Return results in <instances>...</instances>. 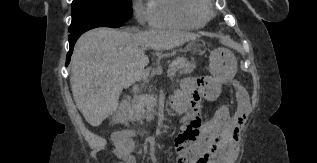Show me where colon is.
I'll return each instance as SVG.
<instances>
[{"mask_svg": "<svg viewBox=\"0 0 317 163\" xmlns=\"http://www.w3.org/2000/svg\"><path fill=\"white\" fill-rule=\"evenodd\" d=\"M242 89L243 88L241 86H238L237 88L238 101H243L245 94H247L246 91L244 89H243L244 91H242Z\"/></svg>", "mask_w": 317, "mask_h": 163, "instance_id": "5ec220e1", "label": "colon"}]
</instances>
